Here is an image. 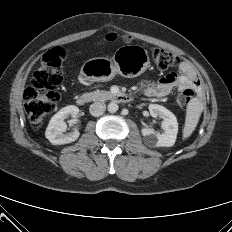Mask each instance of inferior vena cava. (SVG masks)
Here are the masks:
<instances>
[{
	"mask_svg": "<svg viewBox=\"0 0 232 232\" xmlns=\"http://www.w3.org/2000/svg\"><path fill=\"white\" fill-rule=\"evenodd\" d=\"M106 109L104 102L97 101L90 106V114L92 116L98 117L101 116Z\"/></svg>",
	"mask_w": 232,
	"mask_h": 232,
	"instance_id": "602c4592",
	"label": "inferior vena cava"
}]
</instances>
